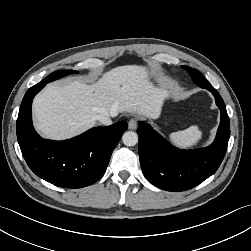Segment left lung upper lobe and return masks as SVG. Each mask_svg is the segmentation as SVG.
<instances>
[{
	"label": "left lung upper lobe",
	"instance_id": "obj_1",
	"mask_svg": "<svg viewBox=\"0 0 251 251\" xmlns=\"http://www.w3.org/2000/svg\"><path fill=\"white\" fill-rule=\"evenodd\" d=\"M185 70H187L189 72V74L191 75L192 79L194 80V82L199 85V83L205 84L208 81L205 79V77L196 69H193L191 67L188 66H182Z\"/></svg>",
	"mask_w": 251,
	"mask_h": 251
}]
</instances>
